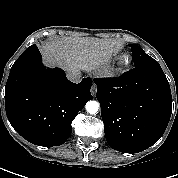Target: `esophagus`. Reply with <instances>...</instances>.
<instances>
[{
	"instance_id": "1",
	"label": "esophagus",
	"mask_w": 178,
	"mask_h": 178,
	"mask_svg": "<svg viewBox=\"0 0 178 178\" xmlns=\"http://www.w3.org/2000/svg\"><path fill=\"white\" fill-rule=\"evenodd\" d=\"M96 91H97L96 85L93 84L92 87H91V94H92L93 97L96 96Z\"/></svg>"
}]
</instances>
